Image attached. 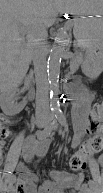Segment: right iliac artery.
Listing matches in <instances>:
<instances>
[{
	"instance_id": "82829eb1",
	"label": "right iliac artery",
	"mask_w": 103,
	"mask_h": 193,
	"mask_svg": "<svg viewBox=\"0 0 103 193\" xmlns=\"http://www.w3.org/2000/svg\"><path fill=\"white\" fill-rule=\"evenodd\" d=\"M56 116V115H55ZM53 124H54V120L52 121V123L49 125V126H47L45 129H43V130H41V131H39V132H37V138L38 139H45L46 137H48L50 134H51V132H52V130H53ZM15 176H12V178H14Z\"/></svg>"
}]
</instances>
